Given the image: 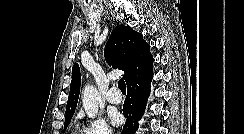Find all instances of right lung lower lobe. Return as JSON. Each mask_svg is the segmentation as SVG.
<instances>
[{
	"label": "right lung lower lobe",
	"mask_w": 244,
	"mask_h": 134,
	"mask_svg": "<svg viewBox=\"0 0 244 134\" xmlns=\"http://www.w3.org/2000/svg\"><path fill=\"white\" fill-rule=\"evenodd\" d=\"M153 74L127 86V97L123 105L126 118L121 134H135L138 121L144 114L146 102L150 93V83Z\"/></svg>",
	"instance_id": "right-lung-lower-lobe-1"
}]
</instances>
